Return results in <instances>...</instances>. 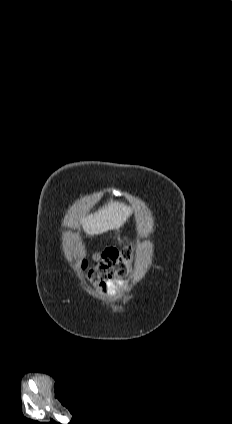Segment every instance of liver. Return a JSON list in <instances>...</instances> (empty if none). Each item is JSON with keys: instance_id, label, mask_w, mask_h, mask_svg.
I'll use <instances>...</instances> for the list:
<instances>
[{"instance_id": "1", "label": "liver", "mask_w": 232, "mask_h": 424, "mask_svg": "<svg viewBox=\"0 0 232 424\" xmlns=\"http://www.w3.org/2000/svg\"><path fill=\"white\" fill-rule=\"evenodd\" d=\"M132 210L119 202H110L94 214L87 216L82 221V226L87 235H99L113 229H119L129 218Z\"/></svg>"}]
</instances>
